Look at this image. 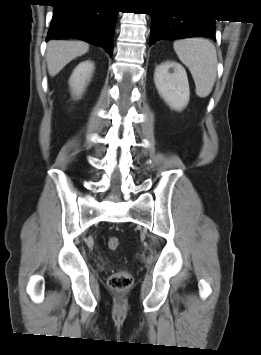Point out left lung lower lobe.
I'll use <instances>...</instances> for the list:
<instances>
[{
    "label": "left lung lower lobe",
    "mask_w": 261,
    "mask_h": 355,
    "mask_svg": "<svg viewBox=\"0 0 261 355\" xmlns=\"http://www.w3.org/2000/svg\"><path fill=\"white\" fill-rule=\"evenodd\" d=\"M150 45L164 38L189 37L215 38V21L208 18H192L152 14Z\"/></svg>",
    "instance_id": "obj_1"
}]
</instances>
